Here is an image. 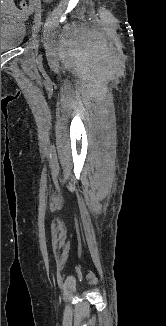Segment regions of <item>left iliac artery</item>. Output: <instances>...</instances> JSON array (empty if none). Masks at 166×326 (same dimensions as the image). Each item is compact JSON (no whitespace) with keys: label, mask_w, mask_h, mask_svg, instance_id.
I'll use <instances>...</instances> for the list:
<instances>
[{"label":"left iliac artery","mask_w":166,"mask_h":326,"mask_svg":"<svg viewBox=\"0 0 166 326\" xmlns=\"http://www.w3.org/2000/svg\"><path fill=\"white\" fill-rule=\"evenodd\" d=\"M34 20H35V24H36V26H37V29L39 30L40 27H41V14H40L39 12H37V11H36V13H35V18H34Z\"/></svg>","instance_id":"left-iliac-artery-1"}]
</instances>
